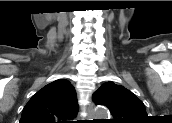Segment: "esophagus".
<instances>
[{
	"label": "esophagus",
	"instance_id": "obj_1",
	"mask_svg": "<svg viewBox=\"0 0 172 123\" xmlns=\"http://www.w3.org/2000/svg\"><path fill=\"white\" fill-rule=\"evenodd\" d=\"M92 109V104L89 105V107H87V112H88V117L91 118V114H90V111Z\"/></svg>",
	"mask_w": 172,
	"mask_h": 123
}]
</instances>
